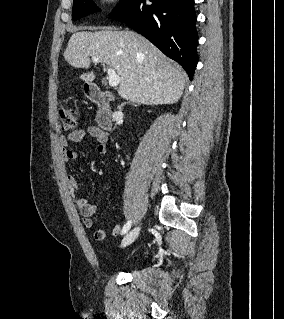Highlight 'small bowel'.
Wrapping results in <instances>:
<instances>
[{"label":"small bowel","instance_id":"1","mask_svg":"<svg viewBox=\"0 0 284 319\" xmlns=\"http://www.w3.org/2000/svg\"><path fill=\"white\" fill-rule=\"evenodd\" d=\"M88 135H90L96 141V151L100 155H105L107 152V133L96 126H91L87 130ZM86 135V131L83 129H77L66 136L60 138V144L63 146V159L65 162L73 161L77 159V153L67 148L69 142H80ZM69 187L73 191L79 190V184L73 176H69L67 179ZM77 207L83 217V223L86 228H93L94 220L93 216L97 211V205L90 202L87 198L81 197L77 200ZM121 225H116L111 229V234L116 236L121 230ZM107 232L103 229L96 230L94 232V238L97 241H102L106 237Z\"/></svg>","mask_w":284,"mask_h":319}]
</instances>
